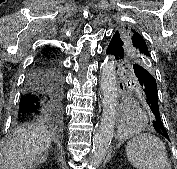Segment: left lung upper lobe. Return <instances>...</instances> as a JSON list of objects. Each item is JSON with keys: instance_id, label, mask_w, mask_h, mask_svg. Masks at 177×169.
Wrapping results in <instances>:
<instances>
[{"instance_id": "1", "label": "left lung upper lobe", "mask_w": 177, "mask_h": 169, "mask_svg": "<svg viewBox=\"0 0 177 169\" xmlns=\"http://www.w3.org/2000/svg\"><path fill=\"white\" fill-rule=\"evenodd\" d=\"M110 43L117 49L118 61L138 63L153 73V65L147 43L136 29L131 26H122L119 31L115 32ZM139 90L141 91V89Z\"/></svg>"}]
</instances>
